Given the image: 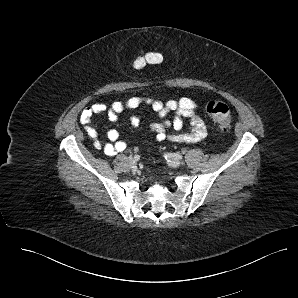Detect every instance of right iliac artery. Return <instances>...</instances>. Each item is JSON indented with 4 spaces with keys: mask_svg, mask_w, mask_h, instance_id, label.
<instances>
[{
    "mask_svg": "<svg viewBox=\"0 0 298 298\" xmlns=\"http://www.w3.org/2000/svg\"><path fill=\"white\" fill-rule=\"evenodd\" d=\"M134 158L138 161L140 156L139 155H135Z\"/></svg>",
    "mask_w": 298,
    "mask_h": 298,
    "instance_id": "1",
    "label": "right iliac artery"
}]
</instances>
